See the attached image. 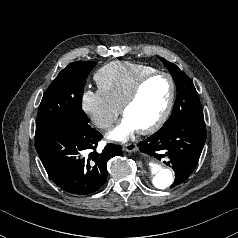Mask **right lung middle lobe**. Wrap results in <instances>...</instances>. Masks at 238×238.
<instances>
[{"instance_id": "obj_1", "label": "right lung middle lobe", "mask_w": 238, "mask_h": 238, "mask_svg": "<svg viewBox=\"0 0 238 238\" xmlns=\"http://www.w3.org/2000/svg\"><path fill=\"white\" fill-rule=\"evenodd\" d=\"M95 65L92 61H76L58 74L41 100L36 133L53 125L89 122L81 107L82 93L86 78Z\"/></svg>"}]
</instances>
